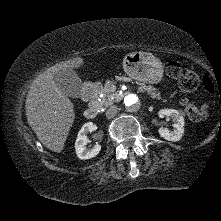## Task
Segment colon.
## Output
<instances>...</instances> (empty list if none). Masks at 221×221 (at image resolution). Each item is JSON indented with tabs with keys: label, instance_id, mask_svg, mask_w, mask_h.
<instances>
[{
	"label": "colon",
	"instance_id": "1",
	"mask_svg": "<svg viewBox=\"0 0 221 221\" xmlns=\"http://www.w3.org/2000/svg\"><path fill=\"white\" fill-rule=\"evenodd\" d=\"M168 75L176 80L179 89L184 93H190L201 87L207 93H212L213 86L207 76H198L188 69L182 61L173 60L167 64ZM180 104L185 109L189 118L200 122L208 117V110L205 106L197 107L188 98L182 97Z\"/></svg>",
	"mask_w": 221,
	"mask_h": 221
}]
</instances>
